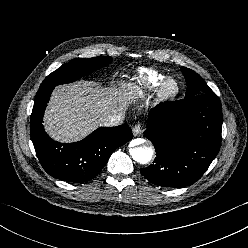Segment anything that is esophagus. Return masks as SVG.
<instances>
[{"instance_id": "esophagus-1", "label": "esophagus", "mask_w": 248, "mask_h": 248, "mask_svg": "<svg viewBox=\"0 0 248 248\" xmlns=\"http://www.w3.org/2000/svg\"><path fill=\"white\" fill-rule=\"evenodd\" d=\"M142 131L143 130L140 124H137L132 128V132L135 137L141 135Z\"/></svg>"}]
</instances>
